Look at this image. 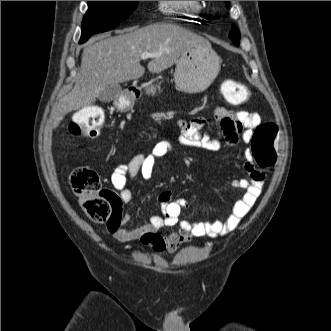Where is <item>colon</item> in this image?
I'll return each instance as SVG.
<instances>
[{"label":"colon","mask_w":331,"mask_h":331,"mask_svg":"<svg viewBox=\"0 0 331 331\" xmlns=\"http://www.w3.org/2000/svg\"><path fill=\"white\" fill-rule=\"evenodd\" d=\"M221 94L232 105L242 104L249 98L248 88L234 80L223 81ZM104 121L102 109L97 106L85 107L77 112L69 131L74 137L93 138L99 134ZM279 134V126L274 121L262 122L255 128L251 150L260 167L267 168L275 163ZM70 183L80 206L90 219L99 223L114 220L116 209L121 204L120 198L114 191L102 188L95 170L89 167L76 168L71 174Z\"/></svg>","instance_id":"1"}]
</instances>
